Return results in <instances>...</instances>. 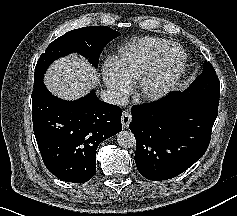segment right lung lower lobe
Listing matches in <instances>:
<instances>
[{
	"label": "right lung lower lobe",
	"instance_id": "1",
	"mask_svg": "<svg viewBox=\"0 0 237 216\" xmlns=\"http://www.w3.org/2000/svg\"><path fill=\"white\" fill-rule=\"evenodd\" d=\"M122 109L94 91L76 101L53 96L43 81L32 93L34 135L47 169L60 180L87 182L96 174L100 142L122 130Z\"/></svg>",
	"mask_w": 237,
	"mask_h": 216
}]
</instances>
